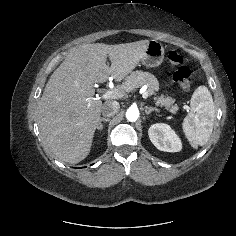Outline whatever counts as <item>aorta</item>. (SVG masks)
<instances>
[{
    "mask_svg": "<svg viewBox=\"0 0 236 236\" xmlns=\"http://www.w3.org/2000/svg\"><path fill=\"white\" fill-rule=\"evenodd\" d=\"M139 117V110L137 107H130L126 111V118L130 122H135Z\"/></svg>",
    "mask_w": 236,
    "mask_h": 236,
    "instance_id": "762f6f07",
    "label": "aorta"
}]
</instances>
